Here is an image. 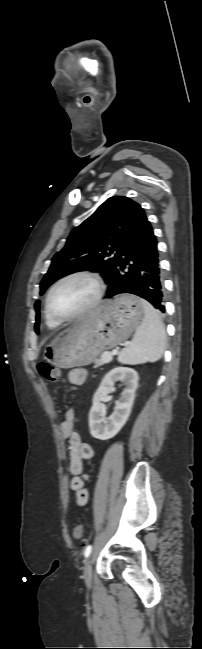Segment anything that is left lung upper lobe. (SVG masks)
Listing matches in <instances>:
<instances>
[{
	"instance_id": "1",
	"label": "left lung upper lobe",
	"mask_w": 202,
	"mask_h": 649,
	"mask_svg": "<svg viewBox=\"0 0 202 649\" xmlns=\"http://www.w3.org/2000/svg\"><path fill=\"white\" fill-rule=\"evenodd\" d=\"M144 216L141 206L130 198L113 196L107 199L71 232L65 247L54 255L40 283V294L58 278L83 269L102 270L110 282L124 241ZM39 304L40 301H36V333L40 325Z\"/></svg>"
}]
</instances>
